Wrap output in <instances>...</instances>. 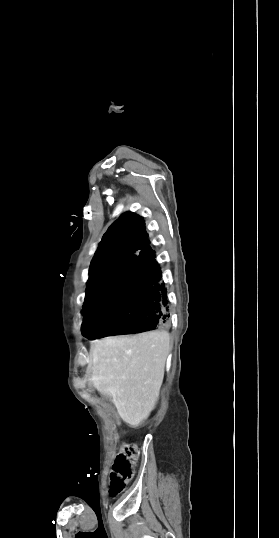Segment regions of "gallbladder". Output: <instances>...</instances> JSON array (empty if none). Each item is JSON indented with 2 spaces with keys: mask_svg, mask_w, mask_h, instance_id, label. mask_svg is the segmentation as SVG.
I'll return each mask as SVG.
<instances>
[{
  "mask_svg": "<svg viewBox=\"0 0 279 538\" xmlns=\"http://www.w3.org/2000/svg\"><path fill=\"white\" fill-rule=\"evenodd\" d=\"M106 403H107L106 409L108 412L113 413L116 411L117 406L115 403H113V400L111 398H108L106 400Z\"/></svg>",
  "mask_w": 279,
  "mask_h": 538,
  "instance_id": "obj_1",
  "label": "gallbladder"
}]
</instances>
